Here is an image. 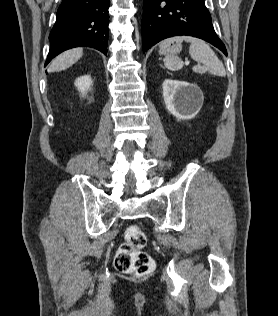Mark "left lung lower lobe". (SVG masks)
I'll list each match as a JSON object with an SVG mask.
<instances>
[{
    "mask_svg": "<svg viewBox=\"0 0 278 316\" xmlns=\"http://www.w3.org/2000/svg\"><path fill=\"white\" fill-rule=\"evenodd\" d=\"M182 35L203 39L227 56L204 0H144L143 52L163 39Z\"/></svg>",
    "mask_w": 278,
    "mask_h": 316,
    "instance_id": "1",
    "label": "left lung lower lobe"
}]
</instances>
